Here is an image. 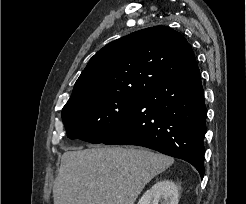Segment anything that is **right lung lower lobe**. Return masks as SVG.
I'll return each mask as SVG.
<instances>
[{
	"label": "right lung lower lobe",
	"mask_w": 246,
	"mask_h": 204,
	"mask_svg": "<svg viewBox=\"0 0 246 204\" xmlns=\"http://www.w3.org/2000/svg\"><path fill=\"white\" fill-rule=\"evenodd\" d=\"M205 133L206 106L195 62L140 94L124 123L102 143L138 145L183 159L203 178Z\"/></svg>",
	"instance_id": "obj_1"
}]
</instances>
